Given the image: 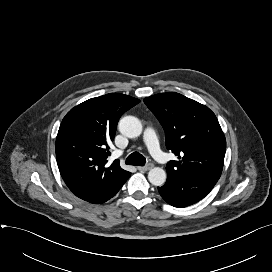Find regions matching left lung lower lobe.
I'll use <instances>...</instances> for the list:
<instances>
[{
  "instance_id": "1",
  "label": "left lung lower lobe",
  "mask_w": 272,
  "mask_h": 272,
  "mask_svg": "<svg viewBox=\"0 0 272 272\" xmlns=\"http://www.w3.org/2000/svg\"><path fill=\"white\" fill-rule=\"evenodd\" d=\"M215 184V182L203 181L185 175L176 179H167L162 187H158V191L167 203L182 208L200 201Z\"/></svg>"
}]
</instances>
